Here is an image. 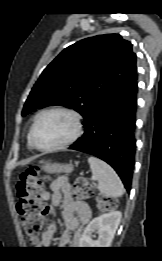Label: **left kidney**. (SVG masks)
Segmentation results:
<instances>
[{"instance_id": "1", "label": "left kidney", "mask_w": 162, "mask_h": 261, "mask_svg": "<svg viewBox=\"0 0 162 261\" xmlns=\"http://www.w3.org/2000/svg\"><path fill=\"white\" fill-rule=\"evenodd\" d=\"M122 214L120 211L112 210L94 218L84 229L79 239L81 248H107L111 245ZM99 235L97 240H93V233Z\"/></svg>"}]
</instances>
